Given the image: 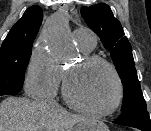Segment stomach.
<instances>
[{"label": "stomach", "mask_w": 151, "mask_h": 131, "mask_svg": "<svg viewBox=\"0 0 151 131\" xmlns=\"http://www.w3.org/2000/svg\"><path fill=\"white\" fill-rule=\"evenodd\" d=\"M75 131H109V129L102 121L90 119L87 122L78 124Z\"/></svg>", "instance_id": "obj_1"}]
</instances>
